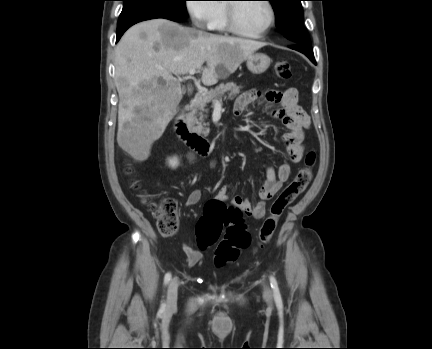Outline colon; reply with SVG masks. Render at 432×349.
<instances>
[{
    "mask_svg": "<svg viewBox=\"0 0 432 349\" xmlns=\"http://www.w3.org/2000/svg\"><path fill=\"white\" fill-rule=\"evenodd\" d=\"M272 70L273 74L282 80H288L292 75L291 65L286 60H278ZM315 161V152L309 151L305 156L304 166L271 205L269 214L258 233L259 248L264 247L271 240L284 210L308 187ZM132 172L133 168L126 163V173L132 174ZM131 185L138 187V182L132 180ZM141 199L153 209L157 227L162 235L170 236L178 230L179 215L176 200L165 198L155 202L147 192L141 193ZM242 216L243 213L239 207L212 200L206 205L205 213L197 223L196 235L201 249L213 245L224 230V236L218 243L214 255L217 267H225L235 261L240 251L250 244V234L246 230Z\"/></svg>",
    "mask_w": 432,
    "mask_h": 349,
    "instance_id": "5ec220e1",
    "label": "colon"
}]
</instances>
